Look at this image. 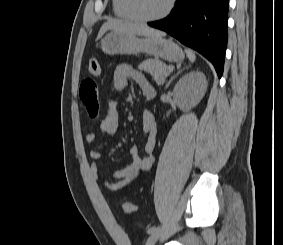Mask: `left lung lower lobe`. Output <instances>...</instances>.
Listing matches in <instances>:
<instances>
[{
	"mask_svg": "<svg viewBox=\"0 0 283 245\" xmlns=\"http://www.w3.org/2000/svg\"><path fill=\"white\" fill-rule=\"evenodd\" d=\"M229 0H177L171 13L148 25L195 49L223 73Z\"/></svg>",
	"mask_w": 283,
	"mask_h": 245,
	"instance_id": "1",
	"label": "left lung lower lobe"
}]
</instances>
